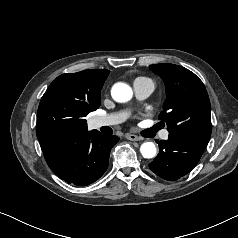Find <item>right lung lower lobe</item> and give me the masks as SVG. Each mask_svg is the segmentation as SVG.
<instances>
[{
    "instance_id": "1",
    "label": "right lung lower lobe",
    "mask_w": 238,
    "mask_h": 238,
    "mask_svg": "<svg viewBox=\"0 0 238 238\" xmlns=\"http://www.w3.org/2000/svg\"><path fill=\"white\" fill-rule=\"evenodd\" d=\"M119 141L87 128L74 132L58 147L44 152L50 169L69 184L86 186L98 180L106 171L111 148Z\"/></svg>"
}]
</instances>
